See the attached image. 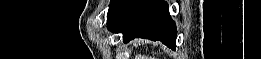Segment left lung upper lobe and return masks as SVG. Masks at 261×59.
I'll return each mask as SVG.
<instances>
[{
    "mask_svg": "<svg viewBox=\"0 0 261 59\" xmlns=\"http://www.w3.org/2000/svg\"><path fill=\"white\" fill-rule=\"evenodd\" d=\"M119 1H120V0H111L108 14L114 9V7L117 5V3H118Z\"/></svg>",
    "mask_w": 261,
    "mask_h": 59,
    "instance_id": "5c2ea615",
    "label": "left lung upper lobe"
}]
</instances>
